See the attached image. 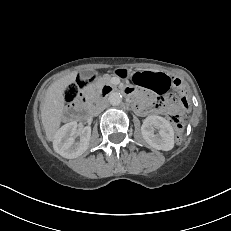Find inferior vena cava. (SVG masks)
Here are the masks:
<instances>
[{"instance_id":"obj_1","label":"inferior vena cava","mask_w":231,"mask_h":231,"mask_svg":"<svg viewBox=\"0 0 231 231\" xmlns=\"http://www.w3.org/2000/svg\"><path fill=\"white\" fill-rule=\"evenodd\" d=\"M104 108H105V104L97 107L96 110H95V112H94V115H98L100 112L103 111Z\"/></svg>"}]
</instances>
